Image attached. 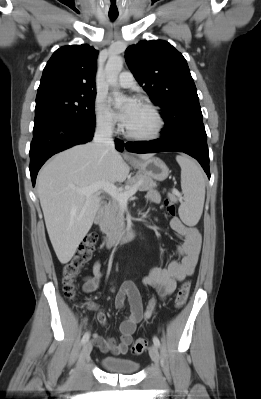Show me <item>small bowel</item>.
Masks as SVG:
<instances>
[{"label": "small bowel", "instance_id": "obj_1", "mask_svg": "<svg viewBox=\"0 0 261 399\" xmlns=\"http://www.w3.org/2000/svg\"><path fill=\"white\" fill-rule=\"evenodd\" d=\"M146 198L153 204L160 202V196L155 190H149ZM170 226L184 238V241L177 246L180 259H172L165 267H153L143 279V284L146 287L155 289L161 298H165L174 292L177 281H183L192 275L198 263L202 246V236L198 228L185 225L177 217L171 219ZM103 276L104 269L101 262L97 260L93 264L92 275L87 276L84 280L83 291L85 293L95 291L100 285ZM126 301L129 305V312L120 323L119 341L111 338L105 339L97 333L92 335L95 345L104 353L125 354L132 343L137 324L144 319H149L156 308L154 297L149 300L146 308H143L139 291L132 281H125L121 284L115 296L114 305L117 309H122ZM90 307L98 310V320L100 323L105 324V313L98 309V306L94 303H90Z\"/></svg>", "mask_w": 261, "mask_h": 399}]
</instances>
